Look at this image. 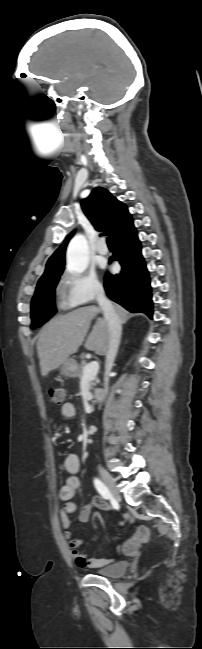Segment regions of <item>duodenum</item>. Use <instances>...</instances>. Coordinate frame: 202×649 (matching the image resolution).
Returning <instances> with one entry per match:
<instances>
[{
	"mask_svg": "<svg viewBox=\"0 0 202 649\" xmlns=\"http://www.w3.org/2000/svg\"><path fill=\"white\" fill-rule=\"evenodd\" d=\"M103 399H104V394H102V393H96L95 394V400L97 402H101Z\"/></svg>",
	"mask_w": 202,
	"mask_h": 649,
	"instance_id": "1",
	"label": "duodenum"
}]
</instances>
